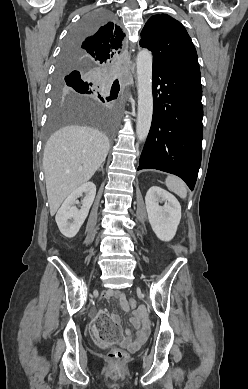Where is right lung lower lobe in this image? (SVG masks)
I'll list each match as a JSON object with an SVG mask.
<instances>
[{
  "label": "right lung lower lobe",
  "instance_id": "right-lung-lower-lobe-1",
  "mask_svg": "<svg viewBox=\"0 0 248 389\" xmlns=\"http://www.w3.org/2000/svg\"><path fill=\"white\" fill-rule=\"evenodd\" d=\"M80 40H82V39H80ZM80 40H78V41H76V42H79ZM76 42H75V43H76ZM80 74H81L80 71H73V72H71V73L69 74L68 79L74 78V77H76V76H78V75H80ZM113 85H114V87L117 88L118 91H119V89H120L119 83H118V84H114V83H113Z\"/></svg>",
  "mask_w": 248,
  "mask_h": 389
}]
</instances>
